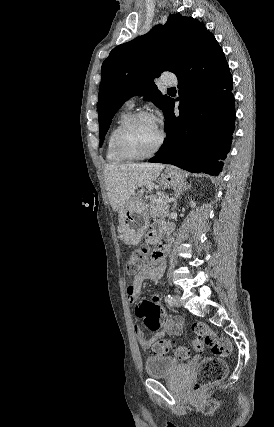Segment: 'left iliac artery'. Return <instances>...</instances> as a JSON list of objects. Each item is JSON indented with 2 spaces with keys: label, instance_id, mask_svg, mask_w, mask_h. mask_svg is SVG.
Segmentation results:
<instances>
[{
  "label": "left iliac artery",
  "instance_id": "obj_1",
  "mask_svg": "<svg viewBox=\"0 0 274 427\" xmlns=\"http://www.w3.org/2000/svg\"><path fill=\"white\" fill-rule=\"evenodd\" d=\"M166 300L170 306H173V299L170 294L167 295Z\"/></svg>",
  "mask_w": 274,
  "mask_h": 427
}]
</instances>
